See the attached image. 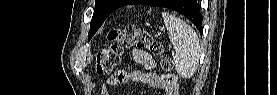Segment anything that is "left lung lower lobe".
Masks as SVG:
<instances>
[{"label": "left lung lower lobe", "instance_id": "1", "mask_svg": "<svg viewBox=\"0 0 277 95\" xmlns=\"http://www.w3.org/2000/svg\"><path fill=\"white\" fill-rule=\"evenodd\" d=\"M152 1L153 0H131L127 5L144 4L150 6ZM173 1L174 0H161L159 7L170 8L183 14L202 32V15L199 12L197 0H183L181 2H179L180 0H175L172 4Z\"/></svg>", "mask_w": 277, "mask_h": 95}]
</instances>
